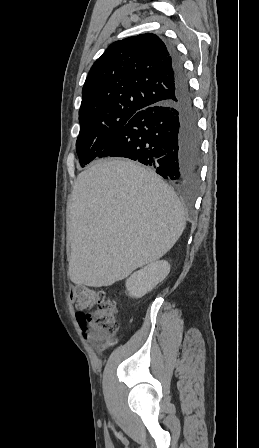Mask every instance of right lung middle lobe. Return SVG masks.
<instances>
[{"label":"right lung middle lobe","mask_w":259,"mask_h":448,"mask_svg":"<svg viewBox=\"0 0 259 448\" xmlns=\"http://www.w3.org/2000/svg\"><path fill=\"white\" fill-rule=\"evenodd\" d=\"M140 111L143 110L130 109L109 114L79 115L80 133L76 141V152L81 167L96 158L126 123Z\"/></svg>","instance_id":"1"}]
</instances>
